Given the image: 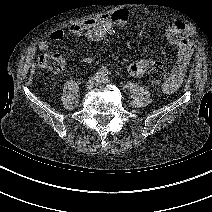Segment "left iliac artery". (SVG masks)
Masks as SVG:
<instances>
[{
	"label": "left iliac artery",
	"mask_w": 212,
	"mask_h": 212,
	"mask_svg": "<svg viewBox=\"0 0 212 212\" xmlns=\"http://www.w3.org/2000/svg\"><path fill=\"white\" fill-rule=\"evenodd\" d=\"M109 81H110V80H109L108 77L103 78V82H104V83H108Z\"/></svg>",
	"instance_id": "obj_1"
}]
</instances>
